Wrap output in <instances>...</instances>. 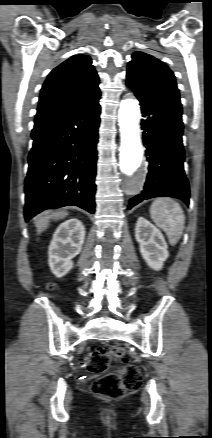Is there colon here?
I'll return each instance as SVG.
<instances>
[{"mask_svg":"<svg viewBox=\"0 0 212 438\" xmlns=\"http://www.w3.org/2000/svg\"><path fill=\"white\" fill-rule=\"evenodd\" d=\"M112 360L122 361L124 365L116 372H108L96 379L91 390L104 398H119L127 392L137 389L142 380L140 371L127 362L123 347L112 343L105 347L92 348L81 361V366L92 373H103Z\"/></svg>","mask_w":212,"mask_h":438,"instance_id":"obj_1","label":"colon"}]
</instances>
